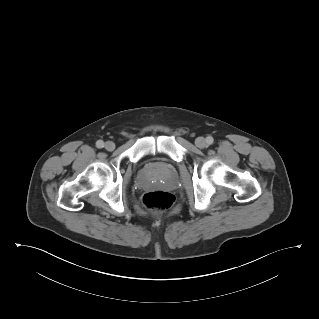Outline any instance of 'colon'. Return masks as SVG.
<instances>
[{
  "mask_svg": "<svg viewBox=\"0 0 319 319\" xmlns=\"http://www.w3.org/2000/svg\"><path fill=\"white\" fill-rule=\"evenodd\" d=\"M142 202L144 206L154 212L164 211L174 203V196L167 191L154 190L143 194Z\"/></svg>",
  "mask_w": 319,
  "mask_h": 319,
  "instance_id": "obj_1",
  "label": "colon"
}]
</instances>
